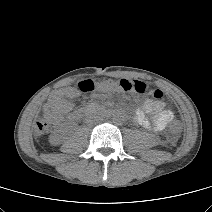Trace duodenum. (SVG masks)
I'll list each match as a JSON object with an SVG mask.
<instances>
[{"instance_id": "410a0bca", "label": "duodenum", "mask_w": 212, "mask_h": 212, "mask_svg": "<svg viewBox=\"0 0 212 212\" xmlns=\"http://www.w3.org/2000/svg\"><path fill=\"white\" fill-rule=\"evenodd\" d=\"M94 109H100V108L98 106H89L87 108H83L78 112V117H81L82 115L86 114L90 110H94Z\"/></svg>"}]
</instances>
